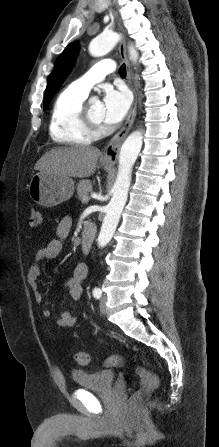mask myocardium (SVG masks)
Instances as JSON below:
<instances>
[{
	"label": "myocardium",
	"mask_w": 219,
	"mask_h": 447,
	"mask_svg": "<svg viewBox=\"0 0 219 447\" xmlns=\"http://www.w3.org/2000/svg\"><path fill=\"white\" fill-rule=\"evenodd\" d=\"M80 118L84 127L90 129L94 133H99L103 130L102 122L95 121L89 112V107L83 102L80 110Z\"/></svg>",
	"instance_id": "f54148a6"
}]
</instances>
